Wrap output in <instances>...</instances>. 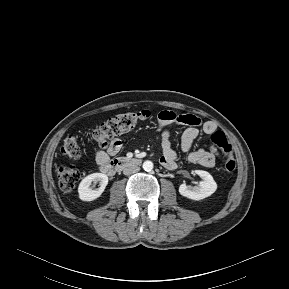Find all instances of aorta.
Instances as JSON below:
<instances>
[{
    "mask_svg": "<svg viewBox=\"0 0 289 289\" xmlns=\"http://www.w3.org/2000/svg\"><path fill=\"white\" fill-rule=\"evenodd\" d=\"M142 167L145 171H151L153 169V163L147 160L143 163Z\"/></svg>",
    "mask_w": 289,
    "mask_h": 289,
    "instance_id": "obj_1",
    "label": "aorta"
}]
</instances>
